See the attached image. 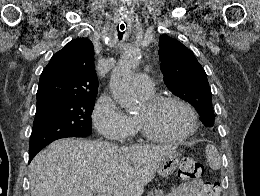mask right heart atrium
Masks as SVG:
<instances>
[{
	"mask_svg": "<svg viewBox=\"0 0 260 196\" xmlns=\"http://www.w3.org/2000/svg\"><path fill=\"white\" fill-rule=\"evenodd\" d=\"M92 118L97 130L107 139H115L118 130L134 128V120L128 116L109 96L103 94L97 100ZM92 143H111L106 140H97Z\"/></svg>",
	"mask_w": 260,
	"mask_h": 196,
	"instance_id": "obj_1",
	"label": "right heart atrium"
}]
</instances>
